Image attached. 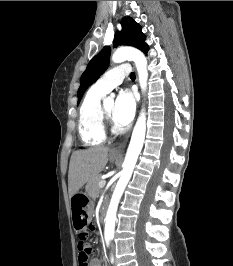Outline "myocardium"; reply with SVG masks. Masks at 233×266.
Wrapping results in <instances>:
<instances>
[{
  "label": "myocardium",
  "instance_id": "myocardium-1",
  "mask_svg": "<svg viewBox=\"0 0 233 266\" xmlns=\"http://www.w3.org/2000/svg\"><path fill=\"white\" fill-rule=\"evenodd\" d=\"M100 113L104 130L107 131L112 124V118L106 112L104 104H101Z\"/></svg>",
  "mask_w": 233,
  "mask_h": 266
}]
</instances>
